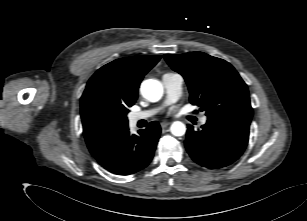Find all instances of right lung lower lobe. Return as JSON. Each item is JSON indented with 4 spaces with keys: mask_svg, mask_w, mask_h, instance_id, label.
Returning a JSON list of instances; mask_svg holds the SVG:
<instances>
[{
    "mask_svg": "<svg viewBox=\"0 0 307 221\" xmlns=\"http://www.w3.org/2000/svg\"><path fill=\"white\" fill-rule=\"evenodd\" d=\"M160 132L156 121L140 130L139 136L131 135L127 127L104 141L91 154L111 173L133 174L145 168L152 160Z\"/></svg>",
    "mask_w": 307,
    "mask_h": 221,
    "instance_id": "right-lung-lower-lobe-1",
    "label": "right lung lower lobe"
}]
</instances>
